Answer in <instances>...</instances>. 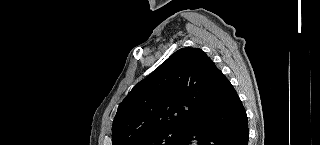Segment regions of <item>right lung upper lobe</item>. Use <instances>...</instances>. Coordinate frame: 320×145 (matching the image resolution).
Here are the masks:
<instances>
[{
  "label": "right lung upper lobe",
  "instance_id": "1",
  "mask_svg": "<svg viewBox=\"0 0 320 145\" xmlns=\"http://www.w3.org/2000/svg\"><path fill=\"white\" fill-rule=\"evenodd\" d=\"M224 74L199 48H181L134 86L119 105L113 145H131L167 128H184L215 106Z\"/></svg>",
  "mask_w": 320,
  "mask_h": 145
}]
</instances>
